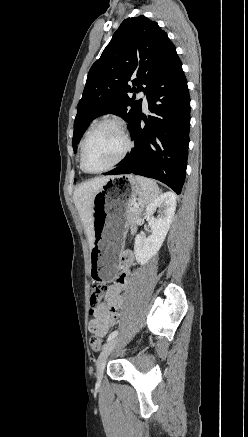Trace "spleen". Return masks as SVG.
Instances as JSON below:
<instances>
[{"instance_id":"spleen-1","label":"spleen","mask_w":248,"mask_h":437,"mask_svg":"<svg viewBox=\"0 0 248 437\" xmlns=\"http://www.w3.org/2000/svg\"><path fill=\"white\" fill-rule=\"evenodd\" d=\"M141 186L140 204L141 206H148L159 194V188L156 182L152 179L142 176L135 177Z\"/></svg>"}]
</instances>
